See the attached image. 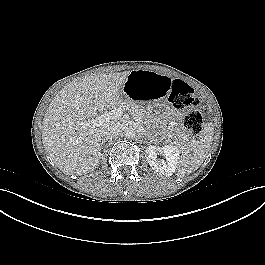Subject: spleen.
<instances>
[{
  "instance_id": "1",
  "label": "spleen",
  "mask_w": 265,
  "mask_h": 265,
  "mask_svg": "<svg viewBox=\"0 0 265 265\" xmlns=\"http://www.w3.org/2000/svg\"><path fill=\"white\" fill-rule=\"evenodd\" d=\"M212 129L206 128L200 141L191 148L189 154H184L177 164V176L183 177L187 173L197 170L203 163L212 142Z\"/></svg>"
}]
</instances>
